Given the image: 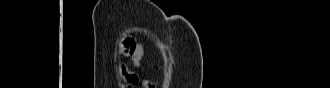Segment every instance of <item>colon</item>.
Masks as SVG:
<instances>
[{
  "label": "colon",
  "instance_id": "obj_1",
  "mask_svg": "<svg viewBox=\"0 0 330 88\" xmlns=\"http://www.w3.org/2000/svg\"><path fill=\"white\" fill-rule=\"evenodd\" d=\"M134 47H135V41L132 38H128L125 40L124 52L126 54L132 53V51L134 50Z\"/></svg>",
  "mask_w": 330,
  "mask_h": 88
}]
</instances>
